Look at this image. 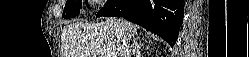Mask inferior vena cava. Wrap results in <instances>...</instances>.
I'll return each instance as SVG.
<instances>
[{"label":"inferior vena cava","instance_id":"obj_1","mask_svg":"<svg viewBox=\"0 0 249 57\" xmlns=\"http://www.w3.org/2000/svg\"><path fill=\"white\" fill-rule=\"evenodd\" d=\"M133 53H135V47L134 46H127L126 53H125L126 55H124V56L125 57H132Z\"/></svg>","mask_w":249,"mask_h":57}]
</instances>
